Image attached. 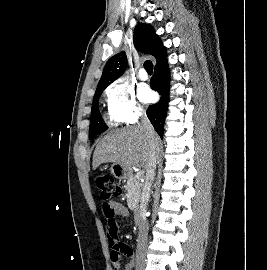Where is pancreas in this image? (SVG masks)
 <instances>
[{
    "instance_id": "1",
    "label": "pancreas",
    "mask_w": 267,
    "mask_h": 270,
    "mask_svg": "<svg viewBox=\"0 0 267 270\" xmlns=\"http://www.w3.org/2000/svg\"><path fill=\"white\" fill-rule=\"evenodd\" d=\"M142 183L136 176L131 175L127 180L125 190L128 203L136 204L140 200Z\"/></svg>"
}]
</instances>
